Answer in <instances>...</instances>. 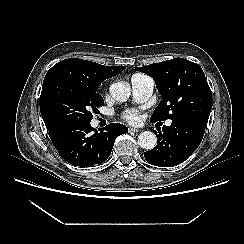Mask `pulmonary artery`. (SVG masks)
I'll return each mask as SVG.
<instances>
[{"mask_svg": "<svg viewBox=\"0 0 244 244\" xmlns=\"http://www.w3.org/2000/svg\"><path fill=\"white\" fill-rule=\"evenodd\" d=\"M154 80L146 75L137 74L131 78L132 94L137 102L147 100L153 92ZM171 120L166 122V125H171Z\"/></svg>", "mask_w": 244, "mask_h": 244, "instance_id": "obj_1", "label": "pulmonary artery"}]
</instances>
